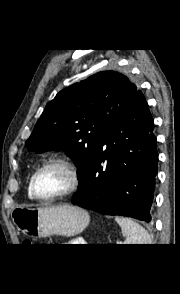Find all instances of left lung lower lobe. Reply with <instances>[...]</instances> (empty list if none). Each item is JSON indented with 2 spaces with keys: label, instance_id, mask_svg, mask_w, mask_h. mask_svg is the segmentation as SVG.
<instances>
[{
  "label": "left lung lower lobe",
  "instance_id": "0a47b994",
  "mask_svg": "<svg viewBox=\"0 0 180 294\" xmlns=\"http://www.w3.org/2000/svg\"><path fill=\"white\" fill-rule=\"evenodd\" d=\"M154 120L139 91L103 139L71 202L105 215L150 222L158 170Z\"/></svg>",
  "mask_w": 180,
  "mask_h": 294
}]
</instances>
